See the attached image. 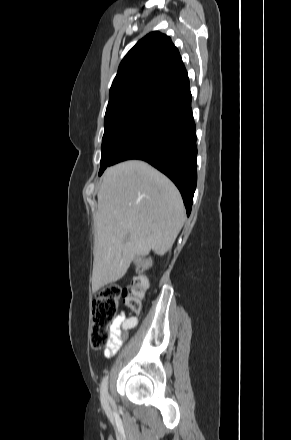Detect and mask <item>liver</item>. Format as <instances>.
Returning <instances> with one entry per match:
<instances>
[{
	"label": "liver",
	"instance_id": "1",
	"mask_svg": "<svg viewBox=\"0 0 291 440\" xmlns=\"http://www.w3.org/2000/svg\"><path fill=\"white\" fill-rule=\"evenodd\" d=\"M97 199L93 292L121 279L135 256L164 255L185 222L178 189L144 161L107 168Z\"/></svg>",
	"mask_w": 291,
	"mask_h": 440
}]
</instances>
